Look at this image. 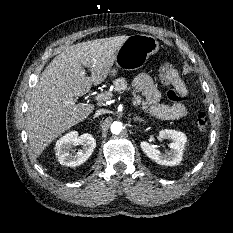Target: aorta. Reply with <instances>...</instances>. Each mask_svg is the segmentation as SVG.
<instances>
[{"label":"aorta","instance_id":"aorta-1","mask_svg":"<svg viewBox=\"0 0 233 233\" xmlns=\"http://www.w3.org/2000/svg\"><path fill=\"white\" fill-rule=\"evenodd\" d=\"M123 129V125L120 121H115L111 124V132L113 134H119Z\"/></svg>","mask_w":233,"mask_h":233}]
</instances>
